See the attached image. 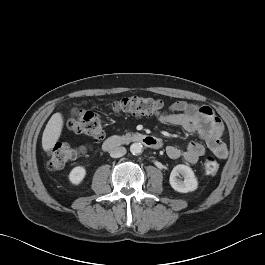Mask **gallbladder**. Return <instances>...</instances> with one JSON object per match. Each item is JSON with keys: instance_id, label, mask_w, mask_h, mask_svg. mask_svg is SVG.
Returning <instances> with one entry per match:
<instances>
[{"instance_id": "gallbladder-1", "label": "gallbladder", "mask_w": 265, "mask_h": 265, "mask_svg": "<svg viewBox=\"0 0 265 265\" xmlns=\"http://www.w3.org/2000/svg\"><path fill=\"white\" fill-rule=\"evenodd\" d=\"M71 113H72V115H76V114H77V110H76L75 108H73V109L71 110Z\"/></svg>"}]
</instances>
